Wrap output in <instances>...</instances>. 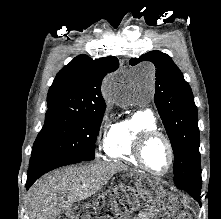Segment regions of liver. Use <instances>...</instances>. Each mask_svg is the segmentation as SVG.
<instances>
[{
  "instance_id": "1",
  "label": "liver",
  "mask_w": 221,
  "mask_h": 219,
  "mask_svg": "<svg viewBox=\"0 0 221 219\" xmlns=\"http://www.w3.org/2000/svg\"><path fill=\"white\" fill-rule=\"evenodd\" d=\"M123 170L126 166L118 162H97L43 176L28 191L29 219H56L61 210L92 196Z\"/></svg>"
}]
</instances>
